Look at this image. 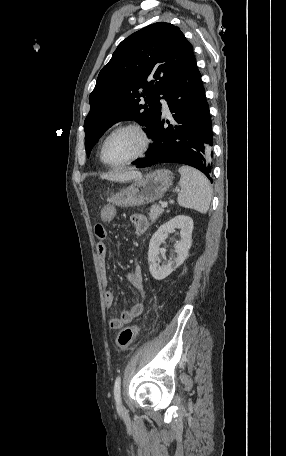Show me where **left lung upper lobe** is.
<instances>
[{
  "mask_svg": "<svg viewBox=\"0 0 286 456\" xmlns=\"http://www.w3.org/2000/svg\"><path fill=\"white\" fill-rule=\"evenodd\" d=\"M194 59L192 45L170 23L151 24L122 41L89 96L91 107L84 122L87 155L119 121L135 120L148 128L149 135L161 114L160 95L165 98Z\"/></svg>",
  "mask_w": 286,
  "mask_h": 456,
  "instance_id": "5c2ea615",
  "label": "left lung upper lobe"
}]
</instances>
